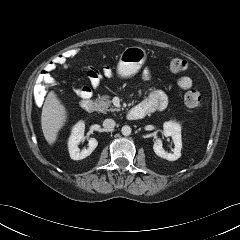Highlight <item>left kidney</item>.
<instances>
[{"instance_id": "left-kidney-1", "label": "left kidney", "mask_w": 240, "mask_h": 240, "mask_svg": "<svg viewBox=\"0 0 240 240\" xmlns=\"http://www.w3.org/2000/svg\"><path fill=\"white\" fill-rule=\"evenodd\" d=\"M163 133L165 136L172 137L174 142V150L173 153H167L162 147V140L157 139L154 142L153 150L157 156L164 158L169 161H175L181 157V149H182V140H181V126L180 124L168 121L163 124Z\"/></svg>"}]
</instances>
